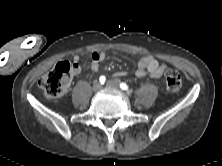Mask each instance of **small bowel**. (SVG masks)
Wrapping results in <instances>:
<instances>
[{
    "label": "small bowel",
    "instance_id": "c3829d8e",
    "mask_svg": "<svg viewBox=\"0 0 222 166\" xmlns=\"http://www.w3.org/2000/svg\"><path fill=\"white\" fill-rule=\"evenodd\" d=\"M91 70L93 72H97L100 68V63L103 62L106 58L105 53L95 51L91 54ZM79 60L78 56L74 57V61L77 62ZM78 65V64H76ZM166 69V66L162 63H160L155 57L151 55H147L142 57L138 63L137 68L135 70V75L139 78L145 77L146 75H149L151 78H160L164 71ZM79 72V66L75 69L74 74H77ZM116 76L121 77L127 75L126 71H118Z\"/></svg>",
    "mask_w": 222,
    "mask_h": 166
}]
</instances>
